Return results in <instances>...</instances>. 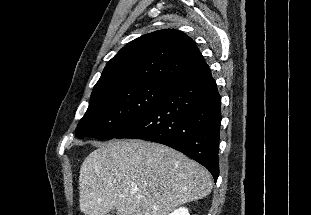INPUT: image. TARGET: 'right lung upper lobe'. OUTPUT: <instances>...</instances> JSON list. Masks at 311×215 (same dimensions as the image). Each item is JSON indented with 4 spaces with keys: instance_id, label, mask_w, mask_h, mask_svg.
<instances>
[{
    "instance_id": "1",
    "label": "right lung upper lobe",
    "mask_w": 311,
    "mask_h": 215,
    "mask_svg": "<svg viewBox=\"0 0 311 215\" xmlns=\"http://www.w3.org/2000/svg\"><path fill=\"white\" fill-rule=\"evenodd\" d=\"M205 65L195 42L182 31H155L125 45L107 63L92 94L119 85L169 84Z\"/></svg>"
}]
</instances>
